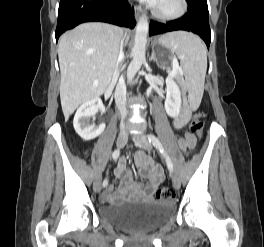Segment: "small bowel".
Listing matches in <instances>:
<instances>
[{"label": "small bowel", "instance_id": "small-bowel-1", "mask_svg": "<svg viewBox=\"0 0 264 247\" xmlns=\"http://www.w3.org/2000/svg\"><path fill=\"white\" fill-rule=\"evenodd\" d=\"M189 116L190 112L186 111L179 119L175 120V127H182L188 121ZM179 144L184 151H188L194 147L195 138L187 134L180 139ZM135 162L139 169V175L142 178L148 179L150 181L149 185L142 188L141 185L134 180L126 161L121 159L115 169V175L121 181L119 194H113L112 187H109L101 195L102 201L114 202L121 197L151 199L154 196L158 186L163 181L162 168L155 164L143 151L137 152L135 155Z\"/></svg>", "mask_w": 264, "mask_h": 247}]
</instances>
